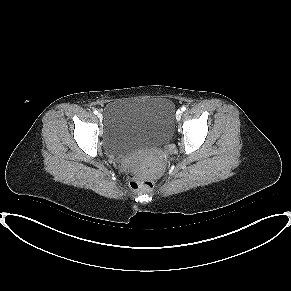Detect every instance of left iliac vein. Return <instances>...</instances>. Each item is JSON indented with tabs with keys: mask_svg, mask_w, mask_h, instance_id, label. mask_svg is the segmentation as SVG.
Instances as JSON below:
<instances>
[{
	"mask_svg": "<svg viewBox=\"0 0 291 291\" xmlns=\"http://www.w3.org/2000/svg\"><path fill=\"white\" fill-rule=\"evenodd\" d=\"M181 116H182V111L181 110H178L176 112V119L179 121L181 119Z\"/></svg>",
	"mask_w": 291,
	"mask_h": 291,
	"instance_id": "left-iliac-vein-1",
	"label": "left iliac vein"
}]
</instances>
